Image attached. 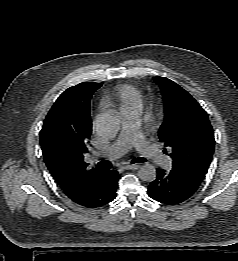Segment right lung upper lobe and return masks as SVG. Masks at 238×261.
I'll list each match as a JSON object with an SVG mask.
<instances>
[{
	"mask_svg": "<svg viewBox=\"0 0 238 261\" xmlns=\"http://www.w3.org/2000/svg\"><path fill=\"white\" fill-rule=\"evenodd\" d=\"M101 83L83 82L64 91L70 112L64 119H45L40 144L45 163L59 187L72 201L80 198L103 171L84 162L92 132L90 99ZM58 99L56 101H58Z\"/></svg>",
	"mask_w": 238,
	"mask_h": 261,
	"instance_id": "right-lung-upper-lobe-1",
	"label": "right lung upper lobe"
}]
</instances>
